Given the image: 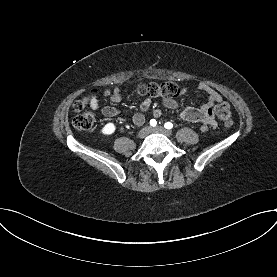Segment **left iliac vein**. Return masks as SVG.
I'll return each instance as SVG.
<instances>
[{
	"label": "left iliac vein",
	"mask_w": 277,
	"mask_h": 277,
	"mask_svg": "<svg viewBox=\"0 0 277 277\" xmlns=\"http://www.w3.org/2000/svg\"><path fill=\"white\" fill-rule=\"evenodd\" d=\"M151 133H161L167 137H170L172 135V132L162 126H157L155 128L150 129Z\"/></svg>",
	"instance_id": "1"
}]
</instances>
